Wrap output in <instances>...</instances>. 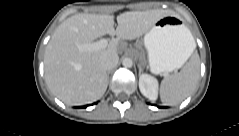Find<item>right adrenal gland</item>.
Wrapping results in <instances>:
<instances>
[{
    "label": "right adrenal gland",
    "instance_id": "1",
    "mask_svg": "<svg viewBox=\"0 0 239 136\" xmlns=\"http://www.w3.org/2000/svg\"><path fill=\"white\" fill-rule=\"evenodd\" d=\"M109 74H110V72H108V74H107V78H108V80H109Z\"/></svg>",
    "mask_w": 239,
    "mask_h": 136
}]
</instances>
